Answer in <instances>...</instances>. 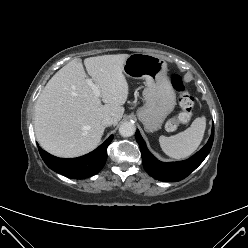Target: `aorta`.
I'll return each mask as SVG.
<instances>
[{
	"label": "aorta",
	"mask_w": 248,
	"mask_h": 248,
	"mask_svg": "<svg viewBox=\"0 0 248 248\" xmlns=\"http://www.w3.org/2000/svg\"><path fill=\"white\" fill-rule=\"evenodd\" d=\"M136 131V126L132 122H124L119 127V133L123 137H130Z\"/></svg>",
	"instance_id": "aorta-1"
}]
</instances>
